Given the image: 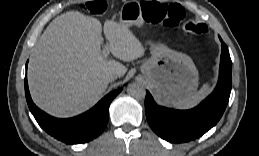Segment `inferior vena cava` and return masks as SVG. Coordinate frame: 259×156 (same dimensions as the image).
<instances>
[{
	"instance_id": "obj_1",
	"label": "inferior vena cava",
	"mask_w": 259,
	"mask_h": 156,
	"mask_svg": "<svg viewBox=\"0 0 259 156\" xmlns=\"http://www.w3.org/2000/svg\"><path fill=\"white\" fill-rule=\"evenodd\" d=\"M118 77H120V75L116 72H112L108 75V79L109 81H114L116 80Z\"/></svg>"
}]
</instances>
